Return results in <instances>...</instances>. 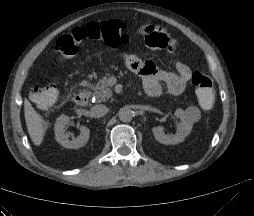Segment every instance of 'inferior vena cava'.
<instances>
[{
	"mask_svg": "<svg viewBox=\"0 0 254 216\" xmlns=\"http://www.w3.org/2000/svg\"><path fill=\"white\" fill-rule=\"evenodd\" d=\"M109 109L105 105H95L91 108V114L93 117H103L108 113Z\"/></svg>",
	"mask_w": 254,
	"mask_h": 216,
	"instance_id": "inferior-vena-cava-1",
	"label": "inferior vena cava"
}]
</instances>
